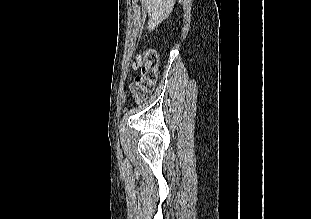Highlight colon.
<instances>
[{
    "instance_id": "1",
    "label": "colon",
    "mask_w": 311,
    "mask_h": 219,
    "mask_svg": "<svg viewBox=\"0 0 311 219\" xmlns=\"http://www.w3.org/2000/svg\"><path fill=\"white\" fill-rule=\"evenodd\" d=\"M133 68L139 70L130 85V91L135 101L145 100L153 90L159 75V59L156 51L148 48L139 53L133 62Z\"/></svg>"
}]
</instances>
